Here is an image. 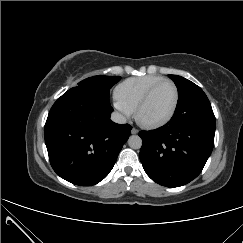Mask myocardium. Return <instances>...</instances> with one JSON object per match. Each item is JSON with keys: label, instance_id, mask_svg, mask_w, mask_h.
<instances>
[{"label": "myocardium", "instance_id": "f54148a6", "mask_svg": "<svg viewBox=\"0 0 243 243\" xmlns=\"http://www.w3.org/2000/svg\"><path fill=\"white\" fill-rule=\"evenodd\" d=\"M163 84H170L172 85L173 89H174V94H175V99H174V104L173 107L170 111V113L168 114L167 117H165L164 119L157 121V122H144L140 119V113L142 111V109L145 107V105L147 104V102L149 101L150 97L152 96V94ZM179 99H180V94H179V89L177 87V85L175 84L174 81L170 80V79H163L159 82H157L156 84H154L145 94L144 96L141 98V100L139 101V103L137 104L135 110H134V117L136 119V121L143 127L146 129H158L161 127L166 126L167 124H169L172 119L174 118L177 109H178V105H179Z\"/></svg>", "mask_w": 243, "mask_h": 243}]
</instances>
